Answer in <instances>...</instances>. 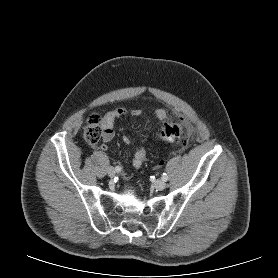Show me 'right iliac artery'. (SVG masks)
I'll return each instance as SVG.
<instances>
[{
	"instance_id": "82829eb1",
	"label": "right iliac artery",
	"mask_w": 278,
	"mask_h": 278,
	"mask_svg": "<svg viewBox=\"0 0 278 278\" xmlns=\"http://www.w3.org/2000/svg\"><path fill=\"white\" fill-rule=\"evenodd\" d=\"M115 170H116L117 172H120V171H121V167L116 166V167H115Z\"/></svg>"
}]
</instances>
